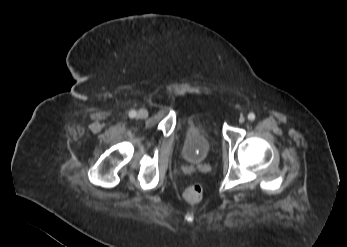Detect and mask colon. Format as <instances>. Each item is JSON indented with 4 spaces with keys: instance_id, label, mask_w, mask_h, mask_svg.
I'll list each match as a JSON object with an SVG mask.
<instances>
[{
    "instance_id": "1",
    "label": "colon",
    "mask_w": 347,
    "mask_h": 247,
    "mask_svg": "<svg viewBox=\"0 0 347 247\" xmlns=\"http://www.w3.org/2000/svg\"><path fill=\"white\" fill-rule=\"evenodd\" d=\"M183 195L187 202L198 203L203 198V188L200 184H191L184 190Z\"/></svg>"
}]
</instances>
